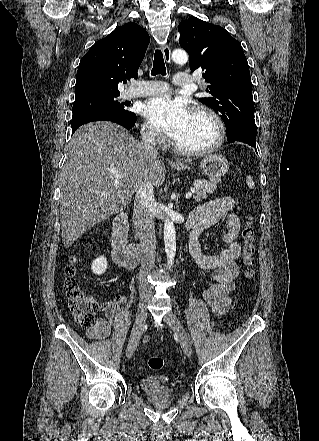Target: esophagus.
I'll list each match as a JSON object with an SVG mask.
<instances>
[{"instance_id":"34e87169","label":"esophagus","mask_w":319,"mask_h":441,"mask_svg":"<svg viewBox=\"0 0 319 441\" xmlns=\"http://www.w3.org/2000/svg\"><path fill=\"white\" fill-rule=\"evenodd\" d=\"M163 56L165 61L170 64L171 63V49L168 45H164L162 48ZM172 164H178V161H172Z\"/></svg>"}]
</instances>
